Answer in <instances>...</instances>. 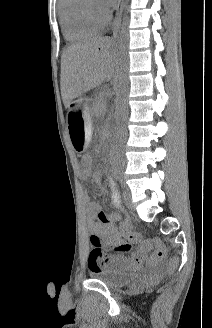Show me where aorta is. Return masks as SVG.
<instances>
[{"label": "aorta", "mask_w": 212, "mask_h": 328, "mask_svg": "<svg viewBox=\"0 0 212 328\" xmlns=\"http://www.w3.org/2000/svg\"><path fill=\"white\" fill-rule=\"evenodd\" d=\"M129 17L124 14L121 30L117 39L118 58L116 63V73L114 78L115 91V119H116V140L118 142V150L114 152L112 162L114 167L111 168L112 180H121L124 175L122 166L123 158L121 146L126 136V122L128 118V33Z\"/></svg>", "instance_id": "obj_1"}]
</instances>
